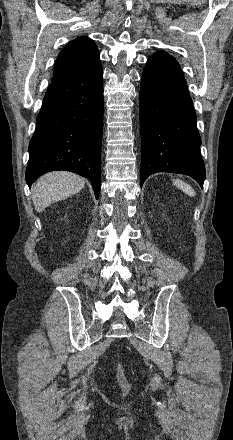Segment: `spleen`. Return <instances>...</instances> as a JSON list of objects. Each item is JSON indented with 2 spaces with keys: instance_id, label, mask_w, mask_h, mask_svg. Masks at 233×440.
Masks as SVG:
<instances>
[{
  "instance_id": "3e777b00",
  "label": "spleen",
  "mask_w": 233,
  "mask_h": 440,
  "mask_svg": "<svg viewBox=\"0 0 233 440\" xmlns=\"http://www.w3.org/2000/svg\"><path fill=\"white\" fill-rule=\"evenodd\" d=\"M173 184L190 197H194L196 195L194 189L180 179H173Z\"/></svg>"
}]
</instances>
